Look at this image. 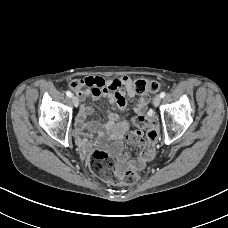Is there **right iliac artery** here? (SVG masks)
Wrapping results in <instances>:
<instances>
[{
	"instance_id": "right-iliac-artery-1",
	"label": "right iliac artery",
	"mask_w": 228,
	"mask_h": 228,
	"mask_svg": "<svg viewBox=\"0 0 228 228\" xmlns=\"http://www.w3.org/2000/svg\"><path fill=\"white\" fill-rule=\"evenodd\" d=\"M66 95H67L68 97H70V98L72 97V93H71L70 91H67V92H66Z\"/></svg>"
}]
</instances>
